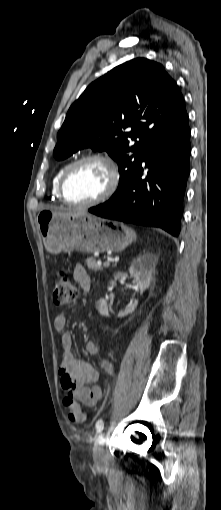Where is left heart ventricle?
Masks as SVG:
<instances>
[{
    "mask_svg": "<svg viewBox=\"0 0 221 510\" xmlns=\"http://www.w3.org/2000/svg\"><path fill=\"white\" fill-rule=\"evenodd\" d=\"M108 183V169L100 162L89 161L71 171L65 184V193L72 202H88L101 195Z\"/></svg>",
    "mask_w": 221,
    "mask_h": 510,
    "instance_id": "left-heart-ventricle-1",
    "label": "left heart ventricle"
}]
</instances>
